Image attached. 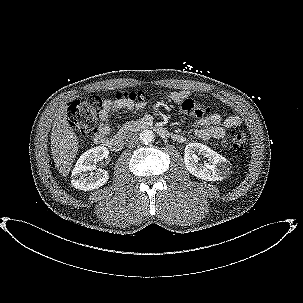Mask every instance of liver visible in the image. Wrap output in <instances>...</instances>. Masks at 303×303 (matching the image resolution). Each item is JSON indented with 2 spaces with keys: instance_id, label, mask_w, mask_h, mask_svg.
<instances>
[{
  "instance_id": "6515ba94",
  "label": "liver",
  "mask_w": 303,
  "mask_h": 303,
  "mask_svg": "<svg viewBox=\"0 0 303 303\" xmlns=\"http://www.w3.org/2000/svg\"><path fill=\"white\" fill-rule=\"evenodd\" d=\"M51 150L55 166L62 176H67L78 152L79 142L67 121V105L62 103L51 132Z\"/></svg>"
}]
</instances>
